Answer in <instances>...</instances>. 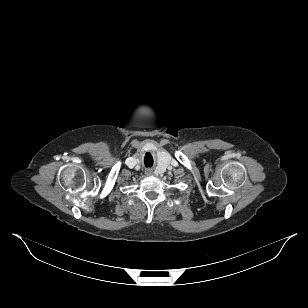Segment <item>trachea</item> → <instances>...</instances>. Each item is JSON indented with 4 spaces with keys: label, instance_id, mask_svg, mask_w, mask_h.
<instances>
[{
    "label": "trachea",
    "instance_id": "3493384b",
    "mask_svg": "<svg viewBox=\"0 0 308 308\" xmlns=\"http://www.w3.org/2000/svg\"><path fill=\"white\" fill-rule=\"evenodd\" d=\"M145 165H146V167H150V166H151V165H148V164H146V163H145Z\"/></svg>",
    "mask_w": 308,
    "mask_h": 308
}]
</instances>
